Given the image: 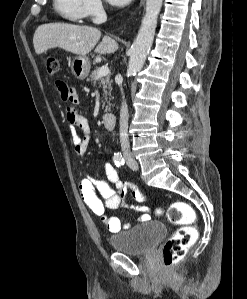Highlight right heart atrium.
<instances>
[{
	"label": "right heart atrium",
	"mask_w": 247,
	"mask_h": 299,
	"mask_svg": "<svg viewBox=\"0 0 247 299\" xmlns=\"http://www.w3.org/2000/svg\"><path fill=\"white\" fill-rule=\"evenodd\" d=\"M85 16L92 20L100 19L104 14V4L102 0H84Z\"/></svg>",
	"instance_id": "obj_1"
}]
</instances>
